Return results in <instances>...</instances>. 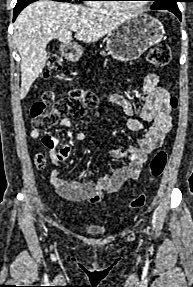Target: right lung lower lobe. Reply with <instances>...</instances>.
Here are the masks:
<instances>
[{
	"mask_svg": "<svg viewBox=\"0 0 193 287\" xmlns=\"http://www.w3.org/2000/svg\"><path fill=\"white\" fill-rule=\"evenodd\" d=\"M35 1H37V0H18L16 6L14 8L13 21L16 19V17L22 11L23 8H25L27 5H29L30 3L35 2ZM55 1H61V0H55ZM61 2H65V1H61Z\"/></svg>",
	"mask_w": 193,
	"mask_h": 287,
	"instance_id": "right-lung-lower-lobe-1",
	"label": "right lung lower lobe"
}]
</instances>
